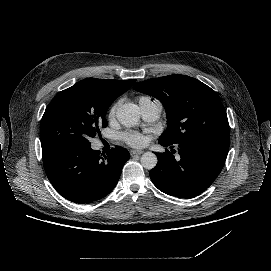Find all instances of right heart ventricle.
Listing matches in <instances>:
<instances>
[{
    "label": "right heart ventricle",
    "mask_w": 271,
    "mask_h": 271,
    "mask_svg": "<svg viewBox=\"0 0 271 271\" xmlns=\"http://www.w3.org/2000/svg\"><path fill=\"white\" fill-rule=\"evenodd\" d=\"M149 100H151V98L148 97V96H140L139 97V102L140 103L143 102V101H149Z\"/></svg>",
    "instance_id": "right-heart-ventricle-1"
}]
</instances>
